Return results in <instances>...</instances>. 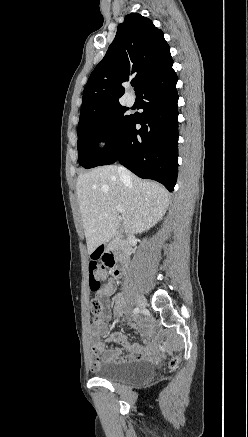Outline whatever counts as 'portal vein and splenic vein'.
<instances>
[{"mask_svg": "<svg viewBox=\"0 0 248 437\" xmlns=\"http://www.w3.org/2000/svg\"><path fill=\"white\" fill-rule=\"evenodd\" d=\"M116 210H117L119 213H121V214L124 213V208H123L122 206H120V205H117V206H116Z\"/></svg>", "mask_w": 248, "mask_h": 437, "instance_id": "portal-vein-and-splenic-vein-1", "label": "portal vein and splenic vein"}]
</instances>
